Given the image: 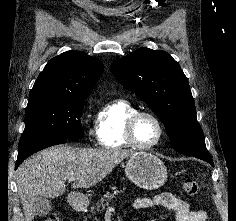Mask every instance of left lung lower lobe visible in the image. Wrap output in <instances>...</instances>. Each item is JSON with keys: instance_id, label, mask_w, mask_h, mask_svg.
Listing matches in <instances>:
<instances>
[{"instance_id": "obj_1", "label": "left lung lower lobe", "mask_w": 236, "mask_h": 221, "mask_svg": "<svg viewBox=\"0 0 236 221\" xmlns=\"http://www.w3.org/2000/svg\"><path fill=\"white\" fill-rule=\"evenodd\" d=\"M195 157L201 158V159L209 162L211 165H213V161H212L211 155L209 153L206 155H195Z\"/></svg>"}]
</instances>
